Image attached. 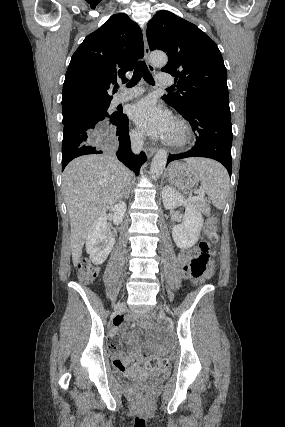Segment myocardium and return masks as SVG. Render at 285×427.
I'll return each mask as SVG.
<instances>
[{
	"mask_svg": "<svg viewBox=\"0 0 285 427\" xmlns=\"http://www.w3.org/2000/svg\"><path fill=\"white\" fill-rule=\"evenodd\" d=\"M174 125L178 128L177 136H170L166 143L173 147H181L187 144L191 138V129L188 123L183 119H176Z\"/></svg>",
	"mask_w": 285,
	"mask_h": 427,
	"instance_id": "1",
	"label": "myocardium"
}]
</instances>
